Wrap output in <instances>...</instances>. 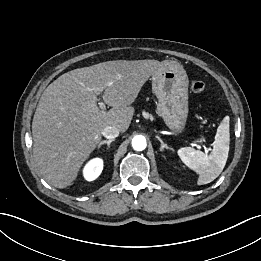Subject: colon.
<instances>
[{"label":"colon","mask_w":261,"mask_h":261,"mask_svg":"<svg viewBox=\"0 0 261 261\" xmlns=\"http://www.w3.org/2000/svg\"><path fill=\"white\" fill-rule=\"evenodd\" d=\"M191 90L196 94H200L205 90V83L201 80H193L191 82Z\"/></svg>","instance_id":"obj_1"}]
</instances>
